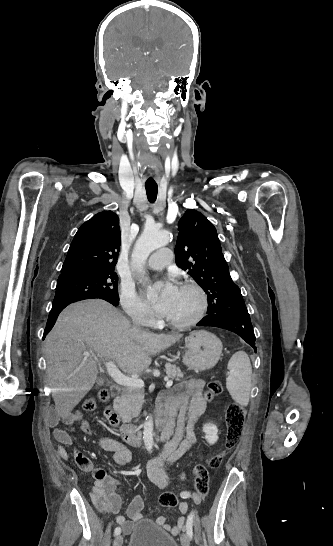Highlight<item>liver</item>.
Segmentation results:
<instances>
[{"instance_id":"liver-1","label":"liver","mask_w":333,"mask_h":546,"mask_svg":"<svg viewBox=\"0 0 333 546\" xmlns=\"http://www.w3.org/2000/svg\"><path fill=\"white\" fill-rule=\"evenodd\" d=\"M182 335H156L134 331L130 322L110 303L85 300L60 313L45 340L47 377L57 414L68 416L97 379V357L115 360L128 374L151 364V356L175 344ZM89 351L95 359L85 357Z\"/></svg>"}]
</instances>
